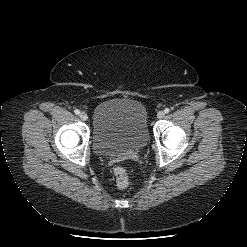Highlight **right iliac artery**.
<instances>
[{
  "mask_svg": "<svg viewBox=\"0 0 247 247\" xmlns=\"http://www.w3.org/2000/svg\"><path fill=\"white\" fill-rule=\"evenodd\" d=\"M74 113H75L76 115H79V114H80V111H79L78 109H76V110L74 111Z\"/></svg>",
  "mask_w": 247,
  "mask_h": 247,
  "instance_id": "1",
  "label": "right iliac artery"
}]
</instances>
